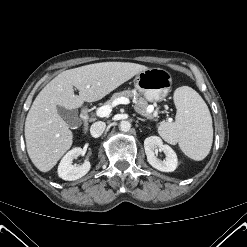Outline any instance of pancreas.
I'll list each match as a JSON object with an SVG mask.
<instances>
[{
    "label": "pancreas",
    "mask_w": 247,
    "mask_h": 247,
    "mask_svg": "<svg viewBox=\"0 0 247 247\" xmlns=\"http://www.w3.org/2000/svg\"><path fill=\"white\" fill-rule=\"evenodd\" d=\"M120 97L133 98V102L135 103L134 106L135 111L144 116L152 117L151 114L146 112V109L148 107L147 101L144 98L140 97L135 90H125L122 92L114 93L111 99L106 102V104L111 106L113 102Z\"/></svg>",
    "instance_id": "cf45deb5"
}]
</instances>
